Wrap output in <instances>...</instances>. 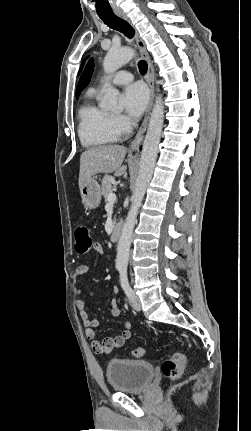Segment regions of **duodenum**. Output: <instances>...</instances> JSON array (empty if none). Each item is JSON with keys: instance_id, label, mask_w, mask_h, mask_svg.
I'll use <instances>...</instances> for the list:
<instances>
[{"instance_id": "duodenum-1", "label": "duodenum", "mask_w": 251, "mask_h": 431, "mask_svg": "<svg viewBox=\"0 0 251 431\" xmlns=\"http://www.w3.org/2000/svg\"><path fill=\"white\" fill-rule=\"evenodd\" d=\"M122 233V224L117 222L112 229V233H111V240L113 242H116L119 240L120 236Z\"/></svg>"}]
</instances>
